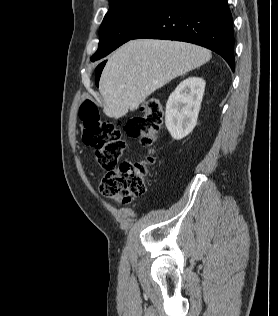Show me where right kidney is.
Masks as SVG:
<instances>
[{"instance_id": "ca27d5eb", "label": "right kidney", "mask_w": 278, "mask_h": 316, "mask_svg": "<svg viewBox=\"0 0 278 316\" xmlns=\"http://www.w3.org/2000/svg\"><path fill=\"white\" fill-rule=\"evenodd\" d=\"M205 84L202 78L189 77L170 95L166 104L165 124L173 139L186 137L196 126Z\"/></svg>"}]
</instances>
